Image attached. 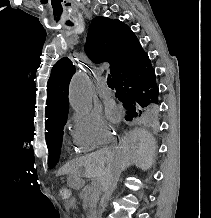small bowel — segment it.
Listing matches in <instances>:
<instances>
[{
    "label": "small bowel",
    "mask_w": 211,
    "mask_h": 218,
    "mask_svg": "<svg viewBox=\"0 0 211 218\" xmlns=\"http://www.w3.org/2000/svg\"><path fill=\"white\" fill-rule=\"evenodd\" d=\"M75 205H76V202L74 200H72V199L66 202V207L67 208H72Z\"/></svg>",
    "instance_id": "1"
}]
</instances>
